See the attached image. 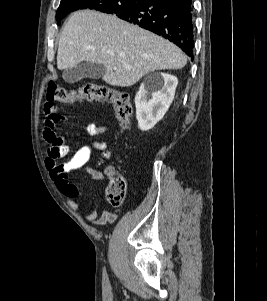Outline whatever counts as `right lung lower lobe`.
Segmentation results:
<instances>
[{"instance_id":"obj_1","label":"right lung lower lobe","mask_w":267,"mask_h":301,"mask_svg":"<svg viewBox=\"0 0 267 301\" xmlns=\"http://www.w3.org/2000/svg\"><path fill=\"white\" fill-rule=\"evenodd\" d=\"M117 16L170 40L193 58L192 0H141Z\"/></svg>"}]
</instances>
